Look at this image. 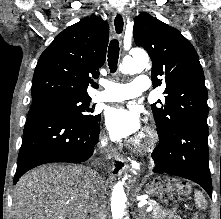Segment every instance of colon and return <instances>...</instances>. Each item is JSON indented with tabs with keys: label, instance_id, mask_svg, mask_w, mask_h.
<instances>
[{
	"label": "colon",
	"instance_id": "5ec220e1",
	"mask_svg": "<svg viewBox=\"0 0 221 219\" xmlns=\"http://www.w3.org/2000/svg\"><path fill=\"white\" fill-rule=\"evenodd\" d=\"M178 190H179V192H185V187L184 186H179L178 187ZM191 219H203L201 216H194V217H192Z\"/></svg>",
	"mask_w": 221,
	"mask_h": 219
}]
</instances>
